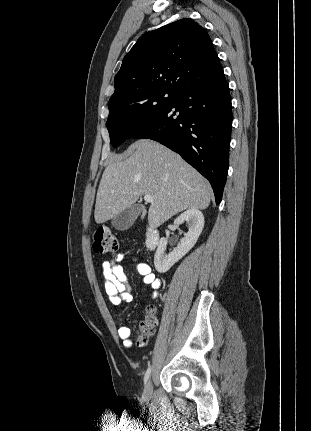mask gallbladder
<instances>
[{
    "label": "gallbladder",
    "instance_id": "obj_1",
    "mask_svg": "<svg viewBox=\"0 0 311 431\" xmlns=\"http://www.w3.org/2000/svg\"><path fill=\"white\" fill-rule=\"evenodd\" d=\"M142 210H145L144 206H141V204H134V206H131V208H128L125 212H121L118 216L113 217L111 225H113L115 229H120V231L129 229Z\"/></svg>",
    "mask_w": 311,
    "mask_h": 431
}]
</instances>
